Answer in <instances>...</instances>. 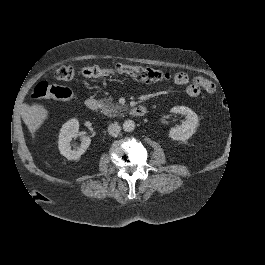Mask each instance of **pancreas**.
Segmentation results:
<instances>
[{
  "label": "pancreas",
  "instance_id": "pancreas-1",
  "mask_svg": "<svg viewBox=\"0 0 265 265\" xmlns=\"http://www.w3.org/2000/svg\"><path fill=\"white\" fill-rule=\"evenodd\" d=\"M123 108L124 107L122 105L117 104L114 99L108 98L103 101L102 113L112 118L121 115Z\"/></svg>",
  "mask_w": 265,
  "mask_h": 265
}]
</instances>
